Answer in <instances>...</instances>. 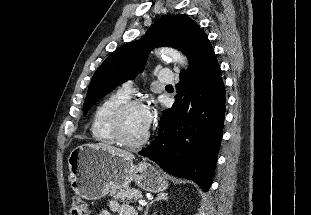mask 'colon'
Segmentation results:
<instances>
[{
  "mask_svg": "<svg viewBox=\"0 0 311 215\" xmlns=\"http://www.w3.org/2000/svg\"><path fill=\"white\" fill-rule=\"evenodd\" d=\"M71 214L89 215V208L87 203L79 197H74L71 204Z\"/></svg>",
  "mask_w": 311,
  "mask_h": 215,
  "instance_id": "1",
  "label": "colon"
}]
</instances>
